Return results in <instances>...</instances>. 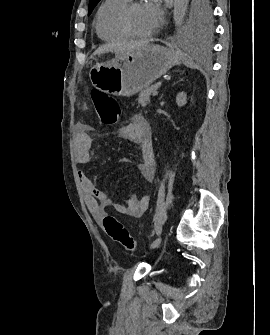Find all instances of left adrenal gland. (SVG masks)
<instances>
[{
	"mask_svg": "<svg viewBox=\"0 0 270 335\" xmlns=\"http://www.w3.org/2000/svg\"><path fill=\"white\" fill-rule=\"evenodd\" d=\"M179 82H183V80H179Z\"/></svg>",
	"mask_w": 270,
	"mask_h": 335,
	"instance_id": "obj_1",
	"label": "left adrenal gland"
}]
</instances>
